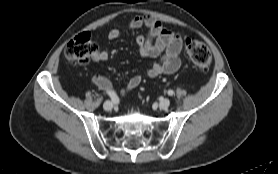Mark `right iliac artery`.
Returning a JSON list of instances; mask_svg holds the SVG:
<instances>
[{"label": "right iliac artery", "mask_w": 278, "mask_h": 174, "mask_svg": "<svg viewBox=\"0 0 278 174\" xmlns=\"http://www.w3.org/2000/svg\"><path fill=\"white\" fill-rule=\"evenodd\" d=\"M107 94L110 96V98L112 99V101L114 103H118L119 102V99H118L117 95L114 92H107Z\"/></svg>", "instance_id": "obj_1"}]
</instances>
